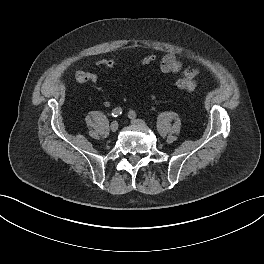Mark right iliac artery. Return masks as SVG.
I'll return each mask as SVG.
<instances>
[{"label":"right iliac artery","instance_id":"right-iliac-artery-1","mask_svg":"<svg viewBox=\"0 0 264 264\" xmlns=\"http://www.w3.org/2000/svg\"><path fill=\"white\" fill-rule=\"evenodd\" d=\"M121 114H122V109H121L120 107H117V108L113 109L111 115H112L113 117H117V116H119V115H121Z\"/></svg>","mask_w":264,"mask_h":264}]
</instances>
